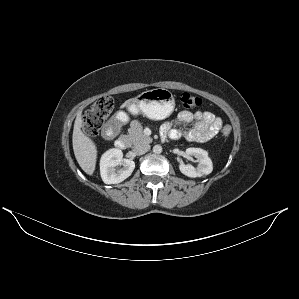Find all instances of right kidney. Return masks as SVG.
Listing matches in <instances>:
<instances>
[{"label": "right kidney", "instance_id": "obj_1", "mask_svg": "<svg viewBox=\"0 0 299 299\" xmlns=\"http://www.w3.org/2000/svg\"><path fill=\"white\" fill-rule=\"evenodd\" d=\"M123 165L119 170L115 167ZM135 168L134 161L123 159V153L120 149H109L100 159L101 178L106 184H117L127 179Z\"/></svg>", "mask_w": 299, "mask_h": 299}]
</instances>
